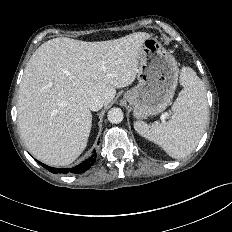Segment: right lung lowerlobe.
<instances>
[{"label":"right lung lower lobe","instance_id":"98d812e1","mask_svg":"<svg viewBox=\"0 0 232 232\" xmlns=\"http://www.w3.org/2000/svg\"><path fill=\"white\" fill-rule=\"evenodd\" d=\"M96 160V153H94L91 157H89V159L85 160L83 163L79 164L76 167L73 168H69V169H59V168H53V167H49L41 162H38L40 165H42L45 169H47L48 171L57 174V173H75V174H79V173H83L86 170H88L91 166H93V164L95 163Z\"/></svg>","mask_w":232,"mask_h":232}]
</instances>
